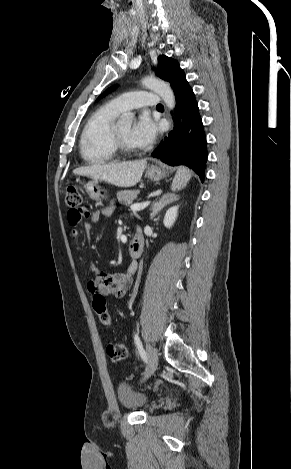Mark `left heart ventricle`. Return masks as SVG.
<instances>
[{
    "instance_id": "1",
    "label": "left heart ventricle",
    "mask_w": 291,
    "mask_h": 469,
    "mask_svg": "<svg viewBox=\"0 0 291 469\" xmlns=\"http://www.w3.org/2000/svg\"><path fill=\"white\" fill-rule=\"evenodd\" d=\"M117 131L120 135V137L124 140L126 144L129 146L135 148L130 140V133H131V127L130 126H117Z\"/></svg>"
}]
</instances>
